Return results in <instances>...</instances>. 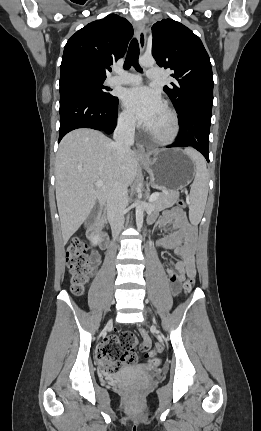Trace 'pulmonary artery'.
Segmentation results:
<instances>
[{
    "label": "pulmonary artery",
    "mask_w": 261,
    "mask_h": 431,
    "mask_svg": "<svg viewBox=\"0 0 261 431\" xmlns=\"http://www.w3.org/2000/svg\"><path fill=\"white\" fill-rule=\"evenodd\" d=\"M117 75L108 80L110 85H138L141 83V76L134 73H125L117 70ZM162 76V70L158 67L150 68L147 72L149 79L155 80Z\"/></svg>",
    "instance_id": "1"
}]
</instances>
